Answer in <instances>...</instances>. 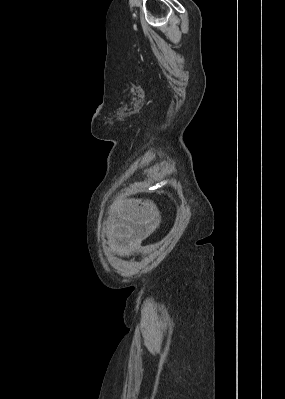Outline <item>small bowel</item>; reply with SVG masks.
<instances>
[{
	"mask_svg": "<svg viewBox=\"0 0 285 399\" xmlns=\"http://www.w3.org/2000/svg\"><path fill=\"white\" fill-rule=\"evenodd\" d=\"M137 221L143 224V234L148 235L151 233L152 227L150 224L151 216L146 206H142L137 216Z\"/></svg>",
	"mask_w": 285,
	"mask_h": 399,
	"instance_id": "1",
	"label": "small bowel"
}]
</instances>
